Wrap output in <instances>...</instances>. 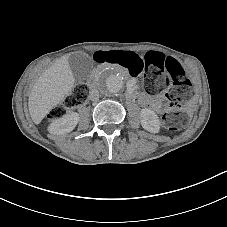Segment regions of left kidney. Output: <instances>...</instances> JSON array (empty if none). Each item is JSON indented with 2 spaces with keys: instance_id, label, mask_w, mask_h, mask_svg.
I'll return each instance as SVG.
<instances>
[{
  "instance_id": "left-kidney-1",
  "label": "left kidney",
  "mask_w": 227,
  "mask_h": 227,
  "mask_svg": "<svg viewBox=\"0 0 227 227\" xmlns=\"http://www.w3.org/2000/svg\"><path fill=\"white\" fill-rule=\"evenodd\" d=\"M141 123L142 126L150 132L157 133L159 131V119L152 110H141Z\"/></svg>"
}]
</instances>
